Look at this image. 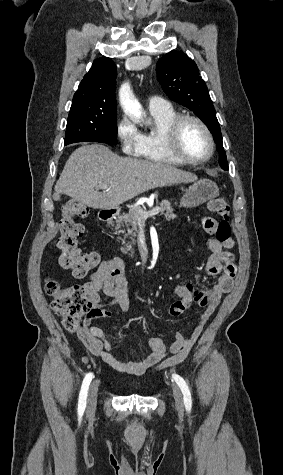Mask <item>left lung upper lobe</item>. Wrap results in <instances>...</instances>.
<instances>
[{
  "label": "left lung upper lobe",
  "instance_id": "1",
  "mask_svg": "<svg viewBox=\"0 0 283 475\" xmlns=\"http://www.w3.org/2000/svg\"><path fill=\"white\" fill-rule=\"evenodd\" d=\"M156 72L163 91L175 102L192 110L214 138L222 139L213 103L195 62L183 52L171 51L160 58Z\"/></svg>",
  "mask_w": 283,
  "mask_h": 475
}]
</instances>
